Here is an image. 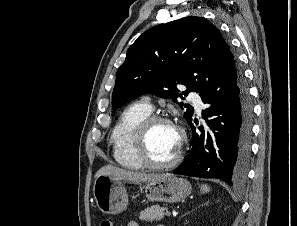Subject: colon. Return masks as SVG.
<instances>
[{
  "instance_id": "1",
  "label": "colon",
  "mask_w": 297,
  "mask_h": 226,
  "mask_svg": "<svg viewBox=\"0 0 297 226\" xmlns=\"http://www.w3.org/2000/svg\"><path fill=\"white\" fill-rule=\"evenodd\" d=\"M101 226H113L109 220H103Z\"/></svg>"
}]
</instances>
